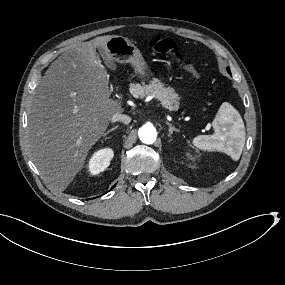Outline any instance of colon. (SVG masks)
Returning <instances> with one entry per match:
<instances>
[{"instance_id":"1","label":"colon","mask_w":285,"mask_h":285,"mask_svg":"<svg viewBox=\"0 0 285 285\" xmlns=\"http://www.w3.org/2000/svg\"><path fill=\"white\" fill-rule=\"evenodd\" d=\"M148 47L160 54L173 58L184 70L193 76H199V71L192 65L186 63L185 58L180 54L175 41L171 38L153 39L148 42Z\"/></svg>"}]
</instances>
